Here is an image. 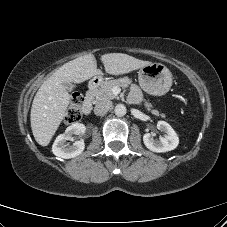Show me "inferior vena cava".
I'll return each mask as SVG.
<instances>
[{
    "instance_id": "obj_1",
    "label": "inferior vena cava",
    "mask_w": 227,
    "mask_h": 227,
    "mask_svg": "<svg viewBox=\"0 0 227 227\" xmlns=\"http://www.w3.org/2000/svg\"><path fill=\"white\" fill-rule=\"evenodd\" d=\"M112 107L113 105L111 101L103 100L95 105L94 113L97 116H102L105 115L110 109H112Z\"/></svg>"
}]
</instances>
